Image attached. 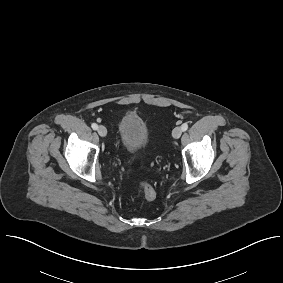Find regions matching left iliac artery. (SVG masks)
I'll return each mask as SVG.
<instances>
[{"label":"left iliac artery","mask_w":283,"mask_h":283,"mask_svg":"<svg viewBox=\"0 0 283 283\" xmlns=\"http://www.w3.org/2000/svg\"><path fill=\"white\" fill-rule=\"evenodd\" d=\"M181 129L182 131H186L188 129V124L187 123L182 124Z\"/></svg>","instance_id":"1"}]
</instances>
